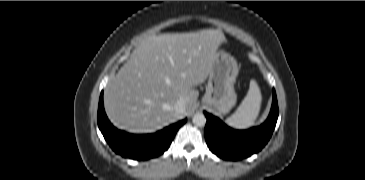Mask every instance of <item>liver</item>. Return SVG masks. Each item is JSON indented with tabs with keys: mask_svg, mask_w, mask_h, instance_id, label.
<instances>
[{
	"mask_svg": "<svg viewBox=\"0 0 365 180\" xmlns=\"http://www.w3.org/2000/svg\"><path fill=\"white\" fill-rule=\"evenodd\" d=\"M218 29L150 36L131 54L104 91L111 122L134 133L154 132L189 115L199 96L194 87L209 75L219 46ZM185 101V112L174 106Z\"/></svg>",
	"mask_w": 365,
	"mask_h": 180,
	"instance_id": "liver-1",
	"label": "liver"
}]
</instances>
